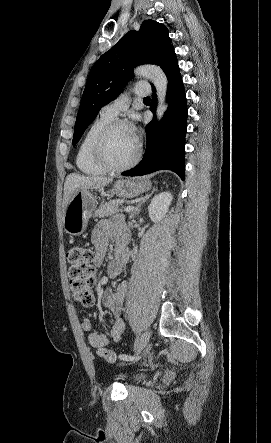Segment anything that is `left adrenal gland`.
Masks as SVG:
<instances>
[{
    "mask_svg": "<svg viewBox=\"0 0 271 443\" xmlns=\"http://www.w3.org/2000/svg\"><path fill=\"white\" fill-rule=\"evenodd\" d=\"M156 188H153L151 194H149V196H144L143 200H141V202H139L137 208H135V212H133L132 216H130V218H134V216H137V214H140V210L143 206V204H145L146 200H149V198H151L153 192H155Z\"/></svg>",
    "mask_w": 271,
    "mask_h": 443,
    "instance_id": "a2214340",
    "label": "left adrenal gland"
}]
</instances>
